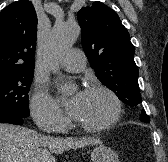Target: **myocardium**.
<instances>
[{"label": "myocardium", "mask_w": 168, "mask_h": 162, "mask_svg": "<svg viewBox=\"0 0 168 162\" xmlns=\"http://www.w3.org/2000/svg\"><path fill=\"white\" fill-rule=\"evenodd\" d=\"M86 92L105 93L112 101L113 112L106 121L100 124H87L77 119L76 120L77 125L81 127L82 129L86 131H90V132H101L115 125L117 121L119 120L121 113H122V103L118 95L111 88H109L108 86L102 85V84L92 85L86 90Z\"/></svg>", "instance_id": "myocardium-1"}]
</instances>
